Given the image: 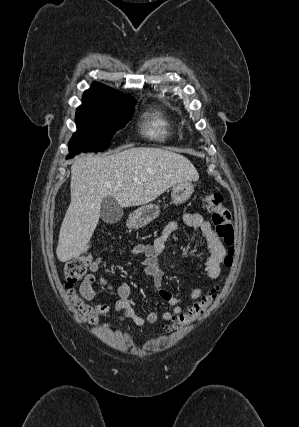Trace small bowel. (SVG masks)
Segmentation results:
<instances>
[{"mask_svg": "<svg viewBox=\"0 0 299 427\" xmlns=\"http://www.w3.org/2000/svg\"><path fill=\"white\" fill-rule=\"evenodd\" d=\"M183 222L193 228H198L205 237L210 255L205 261L204 271L208 278L217 279L221 273V264L224 262L226 249L215 234L209 221L205 220L200 213H186L182 218ZM178 227L177 221L169 222L162 231L155 237L152 243H138L132 249L134 256H141L140 264L143 272L153 279L156 290L162 299L170 306V311L163 312L160 316L157 312H149L146 317L137 315L134 303L130 298L131 286L128 283L121 284L117 289V298L114 307L120 313V320H132L136 325L154 324L161 317L164 321H171L177 317L181 311V299L168 290L162 289L163 271L160 257L165 251L166 245L172 234ZM102 264V258H96L79 288L81 296L87 301H100V297L94 289V284L98 283L105 288H111L112 284L102 275H98V270ZM131 263H128L130 265ZM198 278H201L199 275ZM202 295V288L196 285L190 292V299L196 301Z\"/></svg>", "mask_w": 299, "mask_h": 427, "instance_id": "small-bowel-1", "label": "small bowel"}]
</instances>
